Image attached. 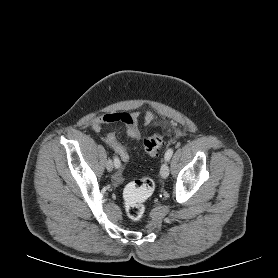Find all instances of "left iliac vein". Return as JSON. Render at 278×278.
Listing matches in <instances>:
<instances>
[{
    "label": "left iliac vein",
    "mask_w": 278,
    "mask_h": 278,
    "mask_svg": "<svg viewBox=\"0 0 278 278\" xmlns=\"http://www.w3.org/2000/svg\"><path fill=\"white\" fill-rule=\"evenodd\" d=\"M160 175L162 178L166 179L169 176V165L165 162L160 169Z\"/></svg>",
    "instance_id": "obj_1"
}]
</instances>
